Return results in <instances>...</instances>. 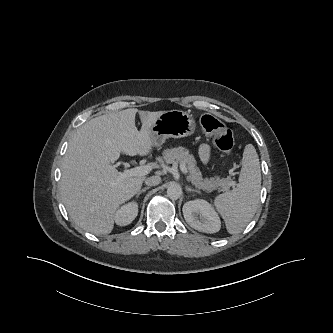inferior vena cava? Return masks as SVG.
Instances as JSON below:
<instances>
[{
  "instance_id": "obj_1",
  "label": "inferior vena cava",
  "mask_w": 333,
  "mask_h": 333,
  "mask_svg": "<svg viewBox=\"0 0 333 333\" xmlns=\"http://www.w3.org/2000/svg\"><path fill=\"white\" fill-rule=\"evenodd\" d=\"M161 182L160 176H151L145 179V184L148 186H155Z\"/></svg>"
}]
</instances>
